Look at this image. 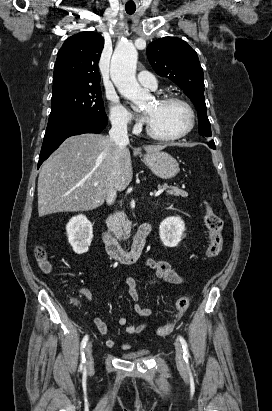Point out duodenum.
Wrapping results in <instances>:
<instances>
[{"label": "duodenum", "instance_id": "1", "mask_svg": "<svg viewBox=\"0 0 272 411\" xmlns=\"http://www.w3.org/2000/svg\"><path fill=\"white\" fill-rule=\"evenodd\" d=\"M151 231L152 227L149 223L142 224L138 229L129 250L122 249L118 240L107 232H102L100 237L108 254L113 259L122 264H130L136 261L144 250L147 237L150 235Z\"/></svg>", "mask_w": 272, "mask_h": 411}]
</instances>
